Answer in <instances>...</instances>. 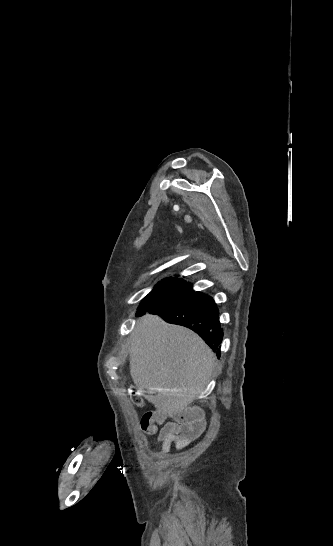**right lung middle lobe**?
Listing matches in <instances>:
<instances>
[{
	"instance_id": "obj_1",
	"label": "right lung middle lobe",
	"mask_w": 333,
	"mask_h": 546,
	"mask_svg": "<svg viewBox=\"0 0 333 546\" xmlns=\"http://www.w3.org/2000/svg\"><path fill=\"white\" fill-rule=\"evenodd\" d=\"M193 293L192 286L183 282L181 279L168 278L159 283L147 295L138 310H150L160 304L173 301L182 296Z\"/></svg>"
}]
</instances>
